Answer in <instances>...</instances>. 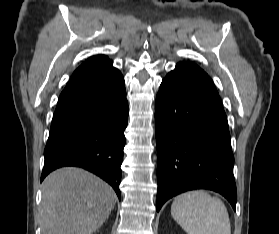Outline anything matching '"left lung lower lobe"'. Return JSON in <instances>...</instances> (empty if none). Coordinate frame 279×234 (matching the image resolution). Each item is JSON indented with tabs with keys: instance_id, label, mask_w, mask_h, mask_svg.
Listing matches in <instances>:
<instances>
[{
	"instance_id": "obj_1",
	"label": "left lung lower lobe",
	"mask_w": 279,
	"mask_h": 234,
	"mask_svg": "<svg viewBox=\"0 0 279 234\" xmlns=\"http://www.w3.org/2000/svg\"><path fill=\"white\" fill-rule=\"evenodd\" d=\"M157 211L171 197L193 189L222 194L236 207L227 117L211 78L180 62L163 79L155 102Z\"/></svg>"
}]
</instances>
